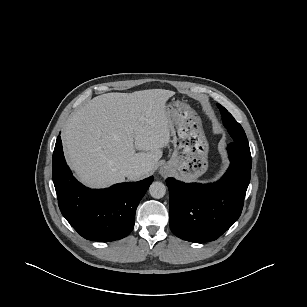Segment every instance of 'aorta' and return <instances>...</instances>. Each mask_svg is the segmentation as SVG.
Here are the masks:
<instances>
[{
  "instance_id": "762f6f07",
  "label": "aorta",
  "mask_w": 307,
  "mask_h": 307,
  "mask_svg": "<svg viewBox=\"0 0 307 307\" xmlns=\"http://www.w3.org/2000/svg\"><path fill=\"white\" fill-rule=\"evenodd\" d=\"M150 195L155 199H160L166 194V186L162 182H153L149 187Z\"/></svg>"
}]
</instances>
